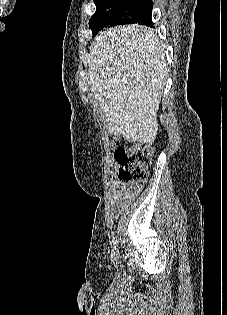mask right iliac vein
<instances>
[{"instance_id":"right-iliac-vein-1","label":"right iliac vein","mask_w":227,"mask_h":315,"mask_svg":"<svg viewBox=\"0 0 227 315\" xmlns=\"http://www.w3.org/2000/svg\"><path fill=\"white\" fill-rule=\"evenodd\" d=\"M112 262L115 266L120 264V254L118 250H114L112 253Z\"/></svg>"}]
</instances>
